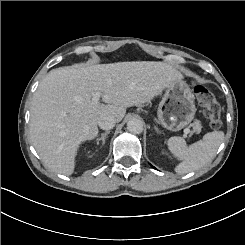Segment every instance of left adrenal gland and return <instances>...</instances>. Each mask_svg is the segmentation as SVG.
Returning a JSON list of instances; mask_svg holds the SVG:
<instances>
[{
    "instance_id": "1",
    "label": "left adrenal gland",
    "mask_w": 245,
    "mask_h": 245,
    "mask_svg": "<svg viewBox=\"0 0 245 245\" xmlns=\"http://www.w3.org/2000/svg\"><path fill=\"white\" fill-rule=\"evenodd\" d=\"M154 129L156 130L157 133H161L157 126H154Z\"/></svg>"
}]
</instances>
